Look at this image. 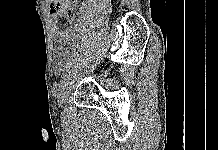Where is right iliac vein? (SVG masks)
I'll list each match as a JSON object with an SVG mask.
<instances>
[{"label": "right iliac vein", "mask_w": 218, "mask_h": 150, "mask_svg": "<svg viewBox=\"0 0 218 150\" xmlns=\"http://www.w3.org/2000/svg\"><path fill=\"white\" fill-rule=\"evenodd\" d=\"M75 78V73L65 76L58 89V102L61 106L71 91V84Z\"/></svg>", "instance_id": "63e3f726"}]
</instances>
